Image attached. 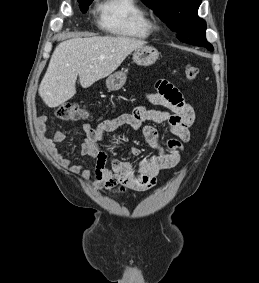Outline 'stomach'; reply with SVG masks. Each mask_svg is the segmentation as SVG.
<instances>
[{
  "label": "stomach",
  "mask_w": 259,
  "mask_h": 283,
  "mask_svg": "<svg viewBox=\"0 0 259 283\" xmlns=\"http://www.w3.org/2000/svg\"><path fill=\"white\" fill-rule=\"evenodd\" d=\"M159 57V52L155 47L143 45L133 53V60L137 65L150 66ZM127 79L124 71H117L106 79V86L110 91H117L123 87Z\"/></svg>",
  "instance_id": "0dacf381"
}]
</instances>
